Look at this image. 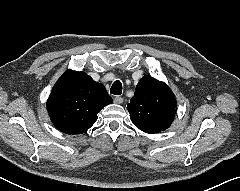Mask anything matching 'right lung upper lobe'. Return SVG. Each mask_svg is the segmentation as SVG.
<instances>
[{"instance_id":"1","label":"right lung upper lobe","mask_w":240,"mask_h":191,"mask_svg":"<svg viewBox=\"0 0 240 191\" xmlns=\"http://www.w3.org/2000/svg\"><path fill=\"white\" fill-rule=\"evenodd\" d=\"M112 102L104 85L84 72L67 70L54 85L47 110L58 130L81 134L96 122L101 109Z\"/></svg>"}]
</instances>
